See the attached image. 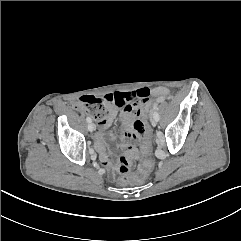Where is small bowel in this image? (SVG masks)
<instances>
[{
  "mask_svg": "<svg viewBox=\"0 0 241 241\" xmlns=\"http://www.w3.org/2000/svg\"><path fill=\"white\" fill-rule=\"evenodd\" d=\"M151 93L161 99L169 94V90L166 88H158L151 92L147 86L142 85L134 91L115 92L111 94L110 96L116 101V103L114 104L110 115L105 120L100 122L101 129L108 128L120 109V117L124 126L125 139L123 148L126 156L129 158L136 157L138 153L134 142L142 139L143 121L141 119V106L144 102L150 99ZM105 139L106 134L103 131L97 132L94 137L95 147L99 152L102 164L108 171L109 177L114 179L117 169L116 166H113L109 160L105 146Z\"/></svg>",
  "mask_w": 241,
  "mask_h": 241,
  "instance_id": "small-bowel-1",
  "label": "small bowel"
}]
</instances>
